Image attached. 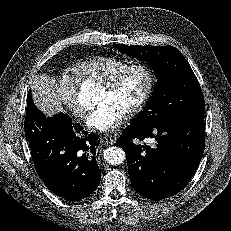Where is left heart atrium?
<instances>
[{"mask_svg": "<svg viewBox=\"0 0 231 231\" xmlns=\"http://www.w3.org/2000/svg\"><path fill=\"white\" fill-rule=\"evenodd\" d=\"M124 113L110 102L99 104L86 118V125L99 131L116 128L123 120Z\"/></svg>", "mask_w": 231, "mask_h": 231, "instance_id": "1", "label": "left heart atrium"}]
</instances>
